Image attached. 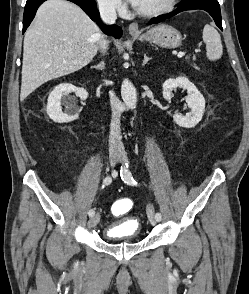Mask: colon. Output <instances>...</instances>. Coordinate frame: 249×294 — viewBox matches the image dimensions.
I'll use <instances>...</instances> for the list:
<instances>
[{"mask_svg":"<svg viewBox=\"0 0 249 294\" xmlns=\"http://www.w3.org/2000/svg\"><path fill=\"white\" fill-rule=\"evenodd\" d=\"M133 207L132 200L128 198H123L118 201H116L112 207V213L115 216H122L126 213H128Z\"/></svg>","mask_w":249,"mask_h":294,"instance_id":"obj_1","label":"colon"}]
</instances>
